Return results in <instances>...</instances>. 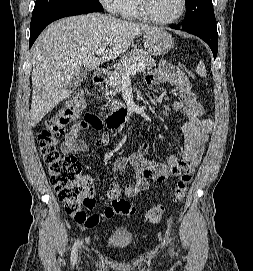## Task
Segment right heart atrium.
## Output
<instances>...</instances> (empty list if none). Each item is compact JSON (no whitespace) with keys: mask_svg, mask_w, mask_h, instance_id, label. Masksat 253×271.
Masks as SVG:
<instances>
[{"mask_svg":"<svg viewBox=\"0 0 253 271\" xmlns=\"http://www.w3.org/2000/svg\"><path fill=\"white\" fill-rule=\"evenodd\" d=\"M125 0H100L111 13H120Z\"/></svg>","mask_w":253,"mask_h":271,"instance_id":"obj_1","label":"right heart atrium"}]
</instances>
